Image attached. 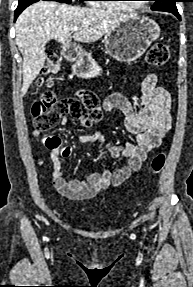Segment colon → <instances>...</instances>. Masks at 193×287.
<instances>
[{
    "instance_id": "colon-1",
    "label": "colon",
    "mask_w": 193,
    "mask_h": 287,
    "mask_svg": "<svg viewBox=\"0 0 193 287\" xmlns=\"http://www.w3.org/2000/svg\"><path fill=\"white\" fill-rule=\"evenodd\" d=\"M170 57L168 47L163 43L152 45L147 53V62L151 66H164ZM60 70V58L55 53L48 55L43 69V75L39 79L41 85L50 82L51 77ZM100 101L98 96L91 91H80L78 99L56 100L55 95L46 93L43 97L34 103L32 113L36 129L47 131L58 123L64 115H71L79 120L83 125L90 126L94 121L99 120L101 116ZM165 163L163 154H158L152 161V169L159 172Z\"/></svg>"
}]
</instances>
